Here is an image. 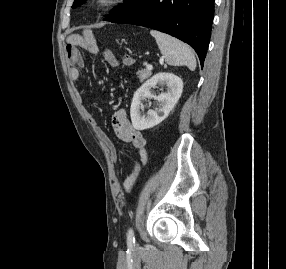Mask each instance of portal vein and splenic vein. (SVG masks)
I'll return each instance as SVG.
<instances>
[{
  "mask_svg": "<svg viewBox=\"0 0 286 269\" xmlns=\"http://www.w3.org/2000/svg\"><path fill=\"white\" fill-rule=\"evenodd\" d=\"M146 68H147V70H150V71L153 69L152 65H150V64H148V65L146 66Z\"/></svg>",
  "mask_w": 286,
  "mask_h": 269,
  "instance_id": "obj_1",
  "label": "portal vein and splenic vein"
}]
</instances>
